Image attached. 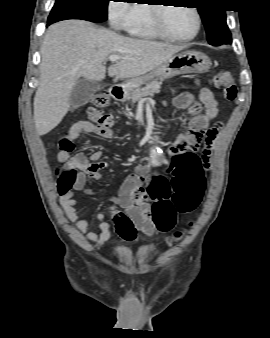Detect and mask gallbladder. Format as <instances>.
Here are the masks:
<instances>
[{
	"mask_svg": "<svg viewBox=\"0 0 270 338\" xmlns=\"http://www.w3.org/2000/svg\"><path fill=\"white\" fill-rule=\"evenodd\" d=\"M102 87L98 82L79 79L70 94L69 103L72 108L85 105Z\"/></svg>",
	"mask_w": 270,
	"mask_h": 338,
	"instance_id": "bac80fb5",
	"label": "gallbladder"
}]
</instances>
